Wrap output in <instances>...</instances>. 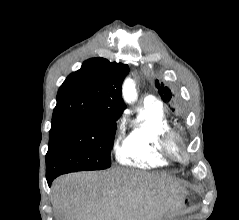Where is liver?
Instances as JSON below:
<instances>
[{
  "label": "liver",
  "instance_id": "liver-1",
  "mask_svg": "<svg viewBox=\"0 0 239 220\" xmlns=\"http://www.w3.org/2000/svg\"><path fill=\"white\" fill-rule=\"evenodd\" d=\"M186 193L165 176L116 168L57 178L51 201L62 220H158L165 211L180 207Z\"/></svg>",
  "mask_w": 239,
  "mask_h": 220
}]
</instances>
